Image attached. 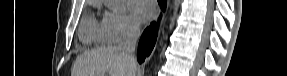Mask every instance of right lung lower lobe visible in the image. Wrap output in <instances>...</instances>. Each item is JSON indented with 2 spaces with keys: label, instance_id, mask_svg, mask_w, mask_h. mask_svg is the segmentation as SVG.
<instances>
[{
  "label": "right lung lower lobe",
  "instance_id": "1",
  "mask_svg": "<svg viewBox=\"0 0 287 76\" xmlns=\"http://www.w3.org/2000/svg\"><path fill=\"white\" fill-rule=\"evenodd\" d=\"M163 11L166 7V0H158ZM157 37V25L155 22L151 23V25L145 29L143 32L137 52V60L139 63H142L147 56L150 55Z\"/></svg>",
  "mask_w": 287,
  "mask_h": 76
}]
</instances>
